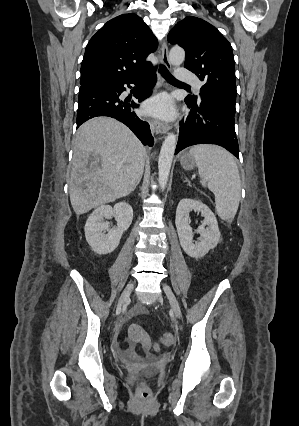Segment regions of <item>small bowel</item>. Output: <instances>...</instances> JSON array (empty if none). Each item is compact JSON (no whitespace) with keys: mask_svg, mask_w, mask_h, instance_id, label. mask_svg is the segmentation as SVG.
<instances>
[{"mask_svg":"<svg viewBox=\"0 0 299 426\" xmlns=\"http://www.w3.org/2000/svg\"><path fill=\"white\" fill-rule=\"evenodd\" d=\"M146 310L143 307H136L133 314L134 315H142L145 314ZM120 353L122 358L129 364L136 365L143 361L146 356V352H139L136 349V342L129 341L126 346L120 349Z\"/></svg>","mask_w":299,"mask_h":426,"instance_id":"1","label":"small bowel"}]
</instances>
